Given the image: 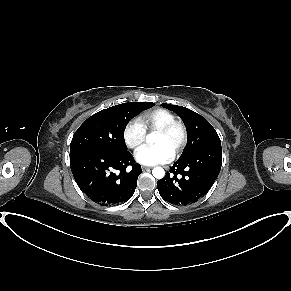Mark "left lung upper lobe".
I'll return each mask as SVG.
<instances>
[{
	"mask_svg": "<svg viewBox=\"0 0 291 291\" xmlns=\"http://www.w3.org/2000/svg\"><path fill=\"white\" fill-rule=\"evenodd\" d=\"M162 106L179 115L186 126L187 144L180 158L212 146H221L217 132L203 116L178 105L162 104Z\"/></svg>",
	"mask_w": 291,
	"mask_h": 291,
	"instance_id": "obj_1",
	"label": "left lung upper lobe"
}]
</instances>
